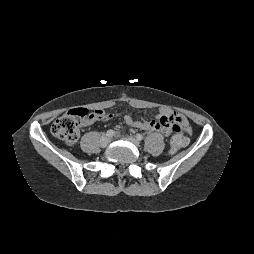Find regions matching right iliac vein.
Returning <instances> with one entry per match:
<instances>
[{
    "instance_id": "63e3f726",
    "label": "right iliac vein",
    "mask_w": 254,
    "mask_h": 254,
    "mask_svg": "<svg viewBox=\"0 0 254 254\" xmlns=\"http://www.w3.org/2000/svg\"><path fill=\"white\" fill-rule=\"evenodd\" d=\"M110 140H111L110 137L103 136L100 141L101 146L103 147L107 146L110 143Z\"/></svg>"
}]
</instances>
